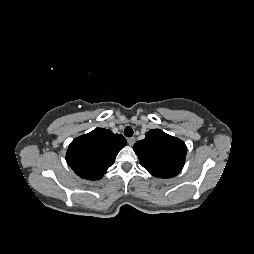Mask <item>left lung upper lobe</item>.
<instances>
[{"instance_id":"left-lung-upper-lobe-1","label":"left lung upper lobe","mask_w":254,"mask_h":254,"mask_svg":"<svg viewBox=\"0 0 254 254\" xmlns=\"http://www.w3.org/2000/svg\"><path fill=\"white\" fill-rule=\"evenodd\" d=\"M133 149L140 164L158 178L176 176L184 166L187 153L183 141L160 129L150 130L145 139L134 144Z\"/></svg>"}]
</instances>
